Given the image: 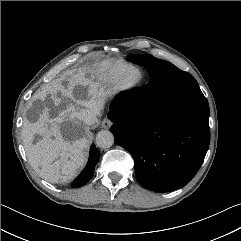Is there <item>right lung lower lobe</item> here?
Returning a JSON list of instances; mask_svg holds the SVG:
<instances>
[{"mask_svg":"<svg viewBox=\"0 0 241 241\" xmlns=\"http://www.w3.org/2000/svg\"><path fill=\"white\" fill-rule=\"evenodd\" d=\"M100 158V151L93 144L90 149L89 160L85 169L79 174V176L72 183L73 188H79L85 185L94 175L95 165Z\"/></svg>","mask_w":241,"mask_h":241,"instance_id":"1","label":"right lung lower lobe"}]
</instances>
